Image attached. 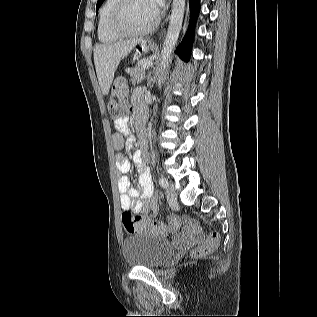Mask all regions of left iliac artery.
<instances>
[{"mask_svg":"<svg viewBox=\"0 0 317 317\" xmlns=\"http://www.w3.org/2000/svg\"><path fill=\"white\" fill-rule=\"evenodd\" d=\"M159 184L163 187L166 188L168 186V181L166 178L164 177H159Z\"/></svg>","mask_w":317,"mask_h":317,"instance_id":"1","label":"left iliac artery"}]
</instances>
